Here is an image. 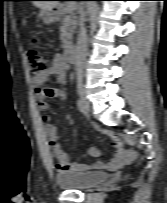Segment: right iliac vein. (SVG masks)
I'll list each match as a JSON object with an SVG mask.
<instances>
[{"label":"right iliac vein","mask_w":167,"mask_h":203,"mask_svg":"<svg viewBox=\"0 0 167 203\" xmlns=\"http://www.w3.org/2000/svg\"><path fill=\"white\" fill-rule=\"evenodd\" d=\"M78 94H79V96H80V98H81V100H82V102H83V104L85 106V109L90 110V102L87 99L85 90H84V88L82 86L78 87Z\"/></svg>","instance_id":"obj_1"}]
</instances>
